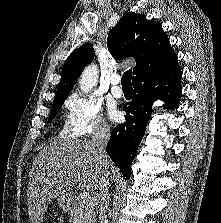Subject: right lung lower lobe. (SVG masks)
Wrapping results in <instances>:
<instances>
[{
  "instance_id": "obj_1",
  "label": "right lung lower lobe",
  "mask_w": 221,
  "mask_h": 223,
  "mask_svg": "<svg viewBox=\"0 0 221 223\" xmlns=\"http://www.w3.org/2000/svg\"><path fill=\"white\" fill-rule=\"evenodd\" d=\"M181 78V68L176 65L164 74L139 78L133 82L135 94L132 101L123 106L126 122L113 129L106 149L127 178H130V167L151 115V105L162 98L165 109H177L182 91Z\"/></svg>"
}]
</instances>
